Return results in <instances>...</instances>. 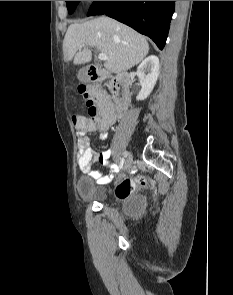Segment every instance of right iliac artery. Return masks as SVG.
Returning <instances> with one entry per match:
<instances>
[{"instance_id":"obj_1","label":"right iliac artery","mask_w":233,"mask_h":295,"mask_svg":"<svg viewBox=\"0 0 233 295\" xmlns=\"http://www.w3.org/2000/svg\"><path fill=\"white\" fill-rule=\"evenodd\" d=\"M128 156V152H124V157H127Z\"/></svg>"}]
</instances>
